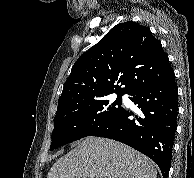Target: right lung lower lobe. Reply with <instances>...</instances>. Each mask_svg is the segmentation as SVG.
I'll return each instance as SVG.
<instances>
[{"label": "right lung lower lobe", "mask_w": 194, "mask_h": 178, "mask_svg": "<svg viewBox=\"0 0 194 178\" xmlns=\"http://www.w3.org/2000/svg\"><path fill=\"white\" fill-rule=\"evenodd\" d=\"M178 88L174 73L166 79L134 90L130 95L141 116L122 108L88 136H99L125 143L150 157L167 178L177 129Z\"/></svg>", "instance_id": "1"}]
</instances>
